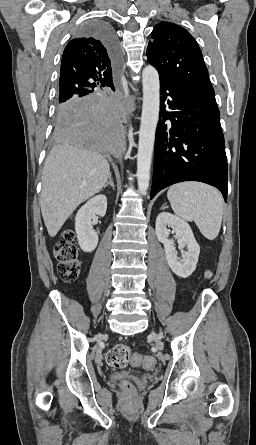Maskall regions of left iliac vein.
I'll use <instances>...</instances> for the list:
<instances>
[{"instance_id": "4c4485c4", "label": "left iliac vein", "mask_w": 256, "mask_h": 445, "mask_svg": "<svg viewBox=\"0 0 256 445\" xmlns=\"http://www.w3.org/2000/svg\"><path fill=\"white\" fill-rule=\"evenodd\" d=\"M154 338H155V341H156L157 343H160V337H159V336H157V335L154 334Z\"/></svg>"}]
</instances>
